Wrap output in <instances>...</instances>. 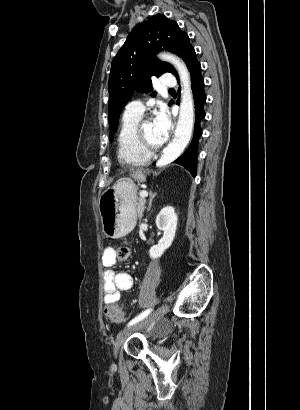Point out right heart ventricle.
<instances>
[{
	"label": "right heart ventricle",
	"mask_w": 300,
	"mask_h": 410,
	"mask_svg": "<svg viewBox=\"0 0 300 410\" xmlns=\"http://www.w3.org/2000/svg\"><path fill=\"white\" fill-rule=\"evenodd\" d=\"M141 114L126 111L121 119L117 134V153L122 163L143 165L150 159V154L138 146L135 139V128Z\"/></svg>",
	"instance_id": "obj_1"
}]
</instances>
